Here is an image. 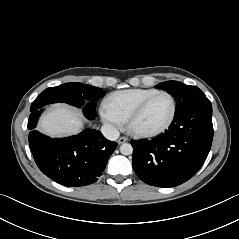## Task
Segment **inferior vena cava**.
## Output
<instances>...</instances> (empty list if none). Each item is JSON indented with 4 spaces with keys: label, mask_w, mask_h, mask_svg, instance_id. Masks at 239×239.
<instances>
[{
    "label": "inferior vena cava",
    "mask_w": 239,
    "mask_h": 239,
    "mask_svg": "<svg viewBox=\"0 0 239 239\" xmlns=\"http://www.w3.org/2000/svg\"><path fill=\"white\" fill-rule=\"evenodd\" d=\"M101 133L103 134V136L111 141H115L118 139L120 133L119 131L112 125L110 124H104L101 127Z\"/></svg>",
    "instance_id": "602c4592"
}]
</instances>
